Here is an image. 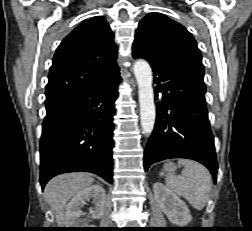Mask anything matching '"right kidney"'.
<instances>
[{
    "instance_id": "obj_1",
    "label": "right kidney",
    "mask_w": 252,
    "mask_h": 231,
    "mask_svg": "<svg viewBox=\"0 0 252 231\" xmlns=\"http://www.w3.org/2000/svg\"><path fill=\"white\" fill-rule=\"evenodd\" d=\"M92 200L94 205L90 209V215L93 219H99L103 215L104 204L106 200L105 190L99 185H92L77 195L66 206L65 225L68 228H85L87 223L82 219L81 208L85 201Z\"/></svg>"
}]
</instances>
